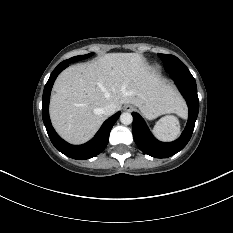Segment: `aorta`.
Masks as SVG:
<instances>
[{"instance_id":"762f6f07","label":"aorta","mask_w":233,"mask_h":233,"mask_svg":"<svg viewBox=\"0 0 233 233\" xmlns=\"http://www.w3.org/2000/svg\"><path fill=\"white\" fill-rule=\"evenodd\" d=\"M120 121L122 124L124 125H129L132 123L133 121V117L131 115V113L128 112H124L120 115Z\"/></svg>"}]
</instances>
